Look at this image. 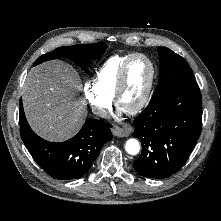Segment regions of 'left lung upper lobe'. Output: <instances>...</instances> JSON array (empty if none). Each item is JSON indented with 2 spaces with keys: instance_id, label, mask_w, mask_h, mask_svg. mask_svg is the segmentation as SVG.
Returning a JSON list of instances; mask_svg holds the SVG:
<instances>
[{
  "instance_id": "obj_1",
  "label": "left lung upper lobe",
  "mask_w": 221,
  "mask_h": 221,
  "mask_svg": "<svg viewBox=\"0 0 221 221\" xmlns=\"http://www.w3.org/2000/svg\"><path fill=\"white\" fill-rule=\"evenodd\" d=\"M160 58V72L157 88L152 98H158L171 88L195 81L191 67L180 55L164 47L157 49Z\"/></svg>"
}]
</instances>
